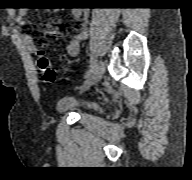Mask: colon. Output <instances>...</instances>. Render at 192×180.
<instances>
[{
  "label": "colon",
  "mask_w": 192,
  "mask_h": 180,
  "mask_svg": "<svg viewBox=\"0 0 192 180\" xmlns=\"http://www.w3.org/2000/svg\"><path fill=\"white\" fill-rule=\"evenodd\" d=\"M37 67L46 82L56 81V72L42 49L37 50Z\"/></svg>",
  "instance_id": "1"
}]
</instances>
